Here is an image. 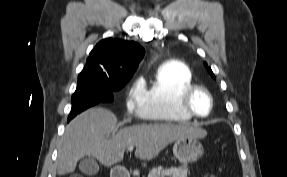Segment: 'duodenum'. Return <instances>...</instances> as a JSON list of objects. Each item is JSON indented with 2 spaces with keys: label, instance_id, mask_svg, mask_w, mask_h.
<instances>
[{
  "label": "duodenum",
  "instance_id": "obj_1",
  "mask_svg": "<svg viewBox=\"0 0 287 177\" xmlns=\"http://www.w3.org/2000/svg\"><path fill=\"white\" fill-rule=\"evenodd\" d=\"M111 177H129V175L123 167H117L114 169Z\"/></svg>",
  "mask_w": 287,
  "mask_h": 177
}]
</instances>
